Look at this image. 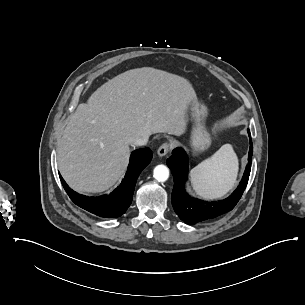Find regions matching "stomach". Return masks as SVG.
<instances>
[{
    "label": "stomach",
    "mask_w": 305,
    "mask_h": 305,
    "mask_svg": "<svg viewBox=\"0 0 305 305\" xmlns=\"http://www.w3.org/2000/svg\"><path fill=\"white\" fill-rule=\"evenodd\" d=\"M192 115L195 120V127L191 135V145L195 152H202L211 145V136L205 129V118L208 114V109L205 105L200 104L197 100L192 105Z\"/></svg>",
    "instance_id": "1"
}]
</instances>
